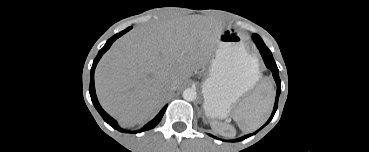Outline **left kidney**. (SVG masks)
<instances>
[{
	"instance_id": "1",
	"label": "left kidney",
	"mask_w": 369,
	"mask_h": 152,
	"mask_svg": "<svg viewBox=\"0 0 369 152\" xmlns=\"http://www.w3.org/2000/svg\"><path fill=\"white\" fill-rule=\"evenodd\" d=\"M211 127L213 130L220 133L221 135L233 136L235 134L233 127H231L230 125L213 121L211 122Z\"/></svg>"
}]
</instances>
